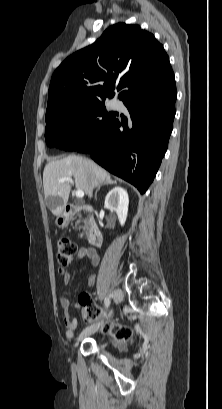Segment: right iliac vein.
Returning <instances> with one entry per match:
<instances>
[{
  "label": "right iliac vein",
  "instance_id": "obj_1",
  "mask_svg": "<svg viewBox=\"0 0 222 409\" xmlns=\"http://www.w3.org/2000/svg\"><path fill=\"white\" fill-rule=\"evenodd\" d=\"M123 294L121 290H116L113 294V300L116 304H118L122 300ZM103 326V323H97L95 325H91L83 330L81 335L79 336V340L82 339L84 336H87L91 333H94L99 328Z\"/></svg>",
  "mask_w": 222,
  "mask_h": 409
}]
</instances>
